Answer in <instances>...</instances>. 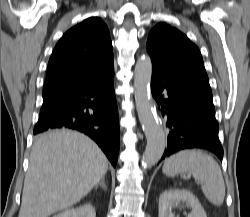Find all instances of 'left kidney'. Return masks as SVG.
I'll return each mask as SVG.
<instances>
[{
    "mask_svg": "<svg viewBox=\"0 0 250 217\" xmlns=\"http://www.w3.org/2000/svg\"><path fill=\"white\" fill-rule=\"evenodd\" d=\"M181 202L186 203L191 212L188 217H207L196 196L189 190L171 188L162 192L159 197L158 217H175L172 208Z\"/></svg>",
    "mask_w": 250,
    "mask_h": 217,
    "instance_id": "left-kidney-1",
    "label": "left kidney"
}]
</instances>
